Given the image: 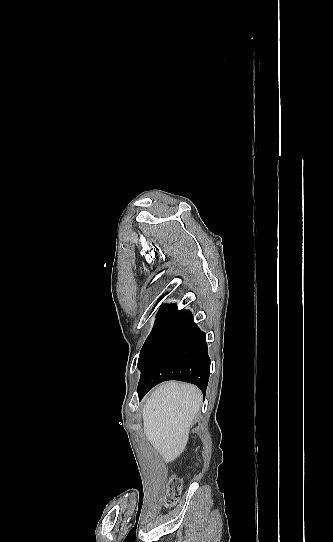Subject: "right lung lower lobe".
<instances>
[{
    "mask_svg": "<svg viewBox=\"0 0 333 542\" xmlns=\"http://www.w3.org/2000/svg\"><path fill=\"white\" fill-rule=\"evenodd\" d=\"M137 366L141 370L140 400L166 380L195 384L205 395L210 373L206 334L194 323L190 311L177 310L175 304L160 307Z\"/></svg>",
    "mask_w": 333,
    "mask_h": 542,
    "instance_id": "98d812e1",
    "label": "right lung lower lobe"
}]
</instances>
